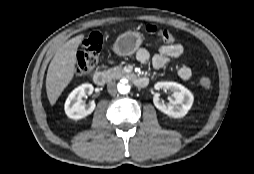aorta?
<instances>
[{
  "mask_svg": "<svg viewBox=\"0 0 254 174\" xmlns=\"http://www.w3.org/2000/svg\"><path fill=\"white\" fill-rule=\"evenodd\" d=\"M130 85H129V83H128V80H126V79H122L119 83H118V85H117V89H118V92L120 93V94H127V93H129V91H130Z\"/></svg>",
  "mask_w": 254,
  "mask_h": 174,
  "instance_id": "obj_1",
  "label": "aorta"
}]
</instances>
